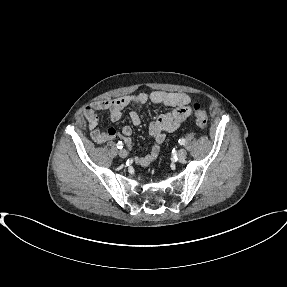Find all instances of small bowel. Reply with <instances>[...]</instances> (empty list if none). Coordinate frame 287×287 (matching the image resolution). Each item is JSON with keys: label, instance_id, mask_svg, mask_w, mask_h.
<instances>
[{"label": "small bowel", "instance_id": "obj_1", "mask_svg": "<svg viewBox=\"0 0 287 287\" xmlns=\"http://www.w3.org/2000/svg\"><path fill=\"white\" fill-rule=\"evenodd\" d=\"M146 103H151L154 106L174 107L173 111L159 115L149 124V135L154 139L155 144L150 154L135 158L137 165L142 167L149 166L158 158L160 145L163 143L166 133L176 131L191 115L192 109L189 95L178 92L153 91L94 101L83 112L88 122L92 140L97 144H104L120 137L127 146H130L131 140L129 136L132 133V128L124 126L120 132H117L114 128L103 131L98 125L97 111L108 110L111 120L116 122L123 118L124 108L132 105L133 109L129 116L132 124L137 126L141 122L138 110Z\"/></svg>", "mask_w": 287, "mask_h": 287}]
</instances>
